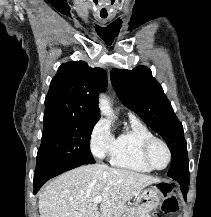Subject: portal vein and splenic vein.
I'll return each mask as SVG.
<instances>
[{"label": "portal vein and splenic vein", "mask_w": 211, "mask_h": 217, "mask_svg": "<svg viewBox=\"0 0 211 217\" xmlns=\"http://www.w3.org/2000/svg\"><path fill=\"white\" fill-rule=\"evenodd\" d=\"M102 196H97V197H95L94 199H93V202L95 203V204H98V203H100L101 201H102Z\"/></svg>", "instance_id": "portal-vein-and-splenic-vein-1"}]
</instances>
